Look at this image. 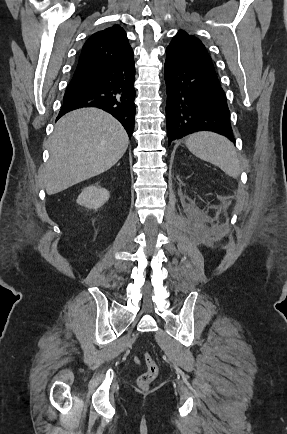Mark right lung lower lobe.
Wrapping results in <instances>:
<instances>
[{
  "mask_svg": "<svg viewBox=\"0 0 287 434\" xmlns=\"http://www.w3.org/2000/svg\"><path fill=\"white\" fill-rule=\"evenodd\" d=\"M134 57L76 69L58 118L81 107H97L119 120L131 137L135 118Z\"/></svg>",
  "mask_w": 287,
  "mask_h": 434,
  "instance_id": "obj_1",
  "label": "right lung lower lobe"
}]
</instances>
